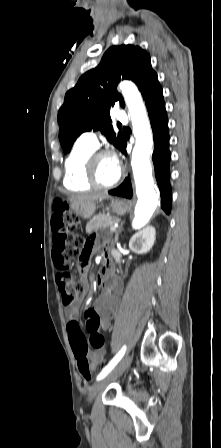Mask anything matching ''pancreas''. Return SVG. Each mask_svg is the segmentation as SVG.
Returning a JSON list of instances; mask_svg holds the SVG:
<instances>
[{"mask_svg":"<svg viewBox=\"0 0 221 448\" xmlns=\"http://www.w3.org/2000/svg\"><path fill=\"white\" fill-rule=\"evenodd\" d=\"M120 219L115 216H111L108 214H99L87 224L86 231L87 233H91L94 230L104 229L107 227L113 226L115 223H118Z\"/></svg>","mask_w":221,"mask_h":448,"instance_id":"obj_1","label":"pancreas"}]
</instances>
